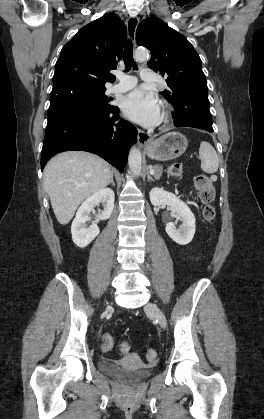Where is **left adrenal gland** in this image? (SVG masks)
Here are the masks:
<instances>
[{"label": "left adrenal gland", "mask_w": 264, "mask_h": 419, "mask_svg": "<svg viewBox=\"0 0 264 419\" xmlns=\"http://www.w3.org/2000/svg\"><path fill=\"white\" fill-rule=\"evenodd\" d=\"M150 168H151V167H150ZM147 178H148V181H150V180H151V181H155V180L152 178L151 174H149V173L147 174Z\"/></svg>", "instance_id": "obj_1"}]
</instances>
